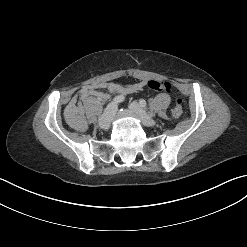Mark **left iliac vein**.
<instances>
[{
	"label": "left iliac vein",
	"mask_w": 247,
	"mask_h": 247,
	"mask_svg": "<svg viewBox=\"0 0 247 247\" xmlns=\"http://www.w3.org/2000/svg\"><path fill=\"white\" fill-rule=\"evenodd\" d=\"M129 108L138 116L145 126L152 127L156 125V121L152 119L137 102L134 101L130 103Z\"/></svg>",
	"instance_id": "obj_1"
}]
</instances>
